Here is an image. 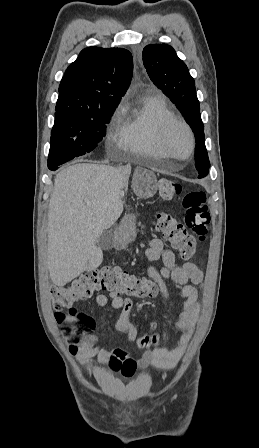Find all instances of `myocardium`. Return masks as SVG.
Returning <instances> with one entry per match:
<instances>
[{
	"label": "myocardium",
	"mask_w": 259,
	"mask_h": 448,
	"mask_svg": "<svg viewBox=\"0 0 259 448\" xmlns=\"http://www.w3.org/2000/svg\"><path fill=\"white\" fill-rule=\"evenodd\" d=\"M180 126L182 127L185 132L187 133V136L189 138V156L188 161H191L195 158V135L191 128V126L183 119H180L178 117L170 118L166 121H164L158 130L157 140L159 143V146L161 149H170L169 147V135L171 130L176 127ZM165 171V170H162Z\"/></svg>",
	"instance_id": "f54148a6"
}]
</instances>
